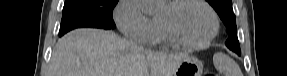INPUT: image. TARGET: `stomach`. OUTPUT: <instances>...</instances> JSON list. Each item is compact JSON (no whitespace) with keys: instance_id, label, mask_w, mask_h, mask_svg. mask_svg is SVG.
<instances>
[{"instance_id":"stomach-1","label":"stomach","mask_w":287,"mask_h":76,"mask_svg":"<svg viewBox=\"0 0 287 76\" xmlns=\"http://www.w3.org/2000/svg\"><path fill=\"white\" fill-rule=\"evenodd\" d=\"M202 71V62L195 57L187 56L180 62L173 76H201Z\"/></svg>"}]
</instances>
